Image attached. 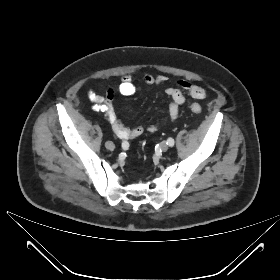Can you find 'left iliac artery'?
I'll use <instances>...</instances> for the list:
<instances>
[{
    "mask_svg": "<svg viewBox=\"0 0 280 280\" xmlns=\"http://www.w3.org/2000/svg\"><path fill=\"white\" fill-rule=\"evenodd\" d=\"M167 144H168L170 147H173V146H174V139H173V138H168Z\"/></svg>",
    "mask_w": 280,
    "mask_h": 280,
    "instance_id": "44dca946",
    "label": "left iliac artery"
}]
</instances>
